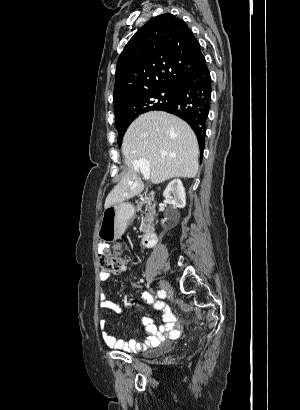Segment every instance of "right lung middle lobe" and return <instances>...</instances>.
Listing matches in <instances>:
<instances>
[{
    "label": "right lung middle lobe",
    "mask_w": 300,
    "mask_h": 410,
    "mask_svg": "<svg viewBox=\"0 0 300 410\" xmlns=\"http://www.w3.org/2000/svg\"><path fill=\"white\" fill-rule=\"evenodd\" d=\"M176 94V89H163L158 90L150 93H146L139 97L137 100V108L138 112L131 117L122 118L116 120V127L118 129V143L121 145L123 136L130 125V123L140 114L150 111V110H158L159 108L163 107L172 102L174 96Z\"/></svg>",
    "instance_id": "right-lung-middle-lobe-1"
}]
</instances>
